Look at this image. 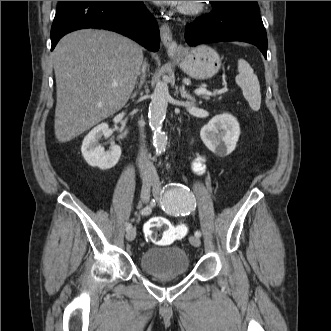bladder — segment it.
<instances>
[{
	"label": "bladder",
	"instance_id": "obj_1",
	"mask_svg": "<svg viewBox=\"0 0 331 331\" xmlns=\"http://www.w3.org/2000/svg\"><path fill=\"white\" fill-rule=\"evenodd\" d=\"M141 270L150 277H182L190 270L187 253L177 245L153 247L139 257Z\"/></svg>",
	"mask_w": 331,
	"mask_h": 331
}]
</instances>
